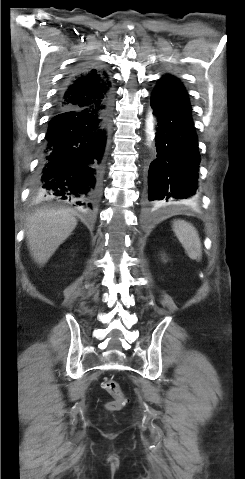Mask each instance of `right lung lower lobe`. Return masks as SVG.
I'll return each mask as SVG.
<instances>
[{
  "instance_id": "obj_1",
  "label": "right lung lower lobe",
  "mask_w": 245,
  "mask_h": 479,
  "mask_svg": "<svg viewBox=\"0 0 245 479\" xmlns=\"http://www.w3.org/2000/svg\"><path fill=\"white\" fill-rule=\"evenodd\" d=\"M88 68L73 72L60 94L75 74ZM110 121L111 97L85 108L55 109L33 184L37 199L93 209L100 194Z\"/></svg>"
}]
</instances>
